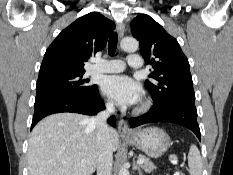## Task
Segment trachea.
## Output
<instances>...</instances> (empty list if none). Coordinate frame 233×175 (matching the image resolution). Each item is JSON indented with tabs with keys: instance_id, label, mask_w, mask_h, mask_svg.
<instances>
[{
	"instance_id": "3493384b",
	"label": "trachea",
	"mask_w": 233,
	"mask_h": 175,
	"mask_svg": "<svg viewBox=\"0 0 233 175\" xmlns=\"http://www.w3.org/2000/svg\"><path fill=\"white\" fill-rule=\"evenodd\" d=\"M118 43V35L116 32H112L108 41V52L109 55H114Z\"/></svg>"
}]
</instances>
